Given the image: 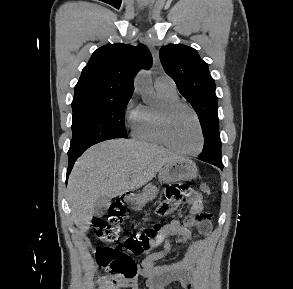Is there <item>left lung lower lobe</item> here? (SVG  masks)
I'll use <instances>...</instances> for the list:
<instances>
[{
	"mask_svg": "<svg viewBox=\"0 0 293 289\" xmlns=\"http://www.w3.org/2000/svg\"><path fill=\"white\" fill-rule=\"evenodd\" d=\"M204 148L202 153L199 155V159L210 164H213L219 167L221 170L223 169L222 162H213L209 159L211 155L216 153V151L221 148V140L219 131H211L208 134L204 135Z\"/></svg>",
	"mask_w": 293,
	"mask_h": 289,
	"instance_id": "0a47b994",
	"label": "left lung lower lobe"
}]
</instances>
